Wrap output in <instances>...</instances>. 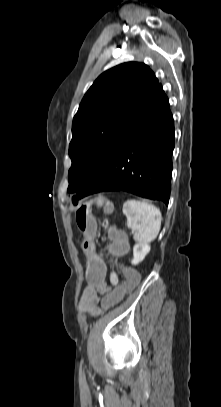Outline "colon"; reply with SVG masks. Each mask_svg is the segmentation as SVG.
<instances>
[{"label": "colon", "mask_w": 221, "mask_h": 407, "mask_svg": "<svg viewBox=\"0 0 221 407\" xmlns=\"http://www.w3.org/2000/svg\"><path fill=\"white\" fill-rule=\"evenodd\" d=\"M96 204L102 206L105 211H112V204L98 197L94 201L83 203L76 211V223L83 234L82 248L86 255V283L88 286H105L109 271L105 265V259L101 258L100 252H96L95 237L97 224L92 215V207ZM110 240L109 251L113 255L123 254L127 250V239L123 232L111 227L108 230ZM120 271L125 276L124 282H119L105 295H102L100 307L103 313H110L112 308H116L118 304L125 301L126 295H130L131 291L137 289V284L140 283V273L134 265H123Z\"/></svg>", "instance_id": "1"}]
</instances>
